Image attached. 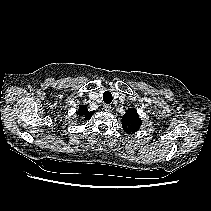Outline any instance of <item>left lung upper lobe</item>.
<instances>
[{
  "instance_id": "left-lung-upper-lobe-1",
  "label": "left lung upper lobe",
  "mask_w": 211,
  "mask_h": 211,
  "mask_svg": "<svg viewBox=\"0 0 211 211\" xmlns=\"http://www.w3.org/2000/svg\"><path fill=\"white\" fill-rule=\"evenodd\" d=\"M122 118L123 130L128 134H133L140 129L142 120L139 118L135 108H130L126 110V113Z\"/></svg>"
}]
</instances>
